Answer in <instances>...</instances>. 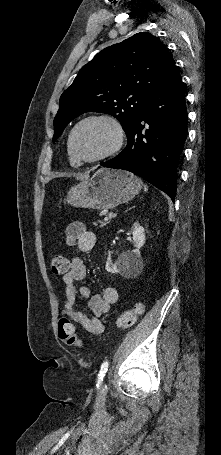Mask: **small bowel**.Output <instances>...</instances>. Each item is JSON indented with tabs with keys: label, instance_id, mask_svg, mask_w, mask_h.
Returning <instances> with one entry per match:
<instances>
[{
	"label": "small bowel",
	"instance_id": "c3829d8e",
	"mask_svg": "<svg viewBox=\"0 0 221 455\" xmlns=\"http://www.w3.org/2000/svg\"><path fill=\"white\" fill-rule=\"evenodd\" d=\"M66 242L69 246H77L82 252L90 251L97 242L96 235L81 223H73L66 230ZM87 267L80 257H72L70 269L63 276L64 307L62 315L81 326L92 335L99 336L104 332L101 316L108 313L118 299V291L113 286L105 287L101 294L91 295L90 289L79 283L86 277ZM78 296L88 299L90 315L78 311L75 306Z\"/></svg>",
	"mask_w": 221,
	"mask_h": 455
}]
</instances>
